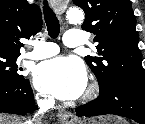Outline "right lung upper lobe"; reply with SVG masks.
I'll use <instances>...</instances> for the list:
<instances>
[{
    "label": "right lung upper lobe",
    "mask_w": 145,
    "mask_h": 124,
    "mask_svg": "<svg viewBox=\"0 0 145 124\" xmlns=\"http://www.w3.org/2000/svg\"><path fill=\"white\" fill-rule=\"evenodd\" d=\"M42 29L40 8L26 0H0V51L20 55L24 46L19 39H29Z\"/></svg>",
    "instance_id": "right-lung-upper-lobe-1"
}]
</instances>
